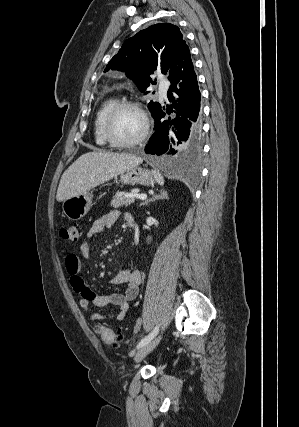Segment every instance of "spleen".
I'll return each instance as SVG.
<instances>
[{
    "mask_svg": "<svg viewBox=\"0 0 299 427\" xmlns=\"http://www.w3.org/2000/svg\"><path fill=\"white\" fill-rule=\"evenodd\" d=\"M152 173L154 174L156 181L160 184L163 185L164 184V178L163 176L160 174L159 171L157 170H153Z\"/></svg>",
    "mask_w": 299,
    "mask_h": 427,
    "instance_id": "spleen-1",
    "label": "spleen"
}]
</instances>
